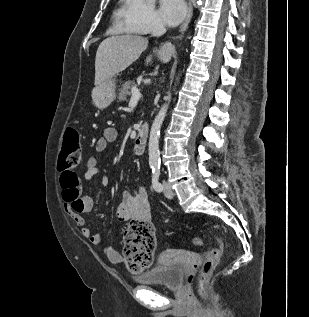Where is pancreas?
I'll use <instances>...</instances> for the list:
<instances>
[{
	"label": "pancreas",
	"mask_w": 309,
	"mask_h": 317,
	"mask_svg": "<svg viewBox=\"0 0 309 317\" xmlns=\"http://www.w3.org/2000/svg\"><path fill=\"white\" fill-rule=\"evenodd\" d=\"M134 87L133 81H126L121 89L119 90L118 99L120 102L126 101L127 97L132 93V88Z\"/></svg>",
	"instance_id": "obj_1"
}]
</instances>
